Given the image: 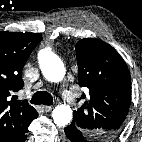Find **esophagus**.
Here are the masks:
<instances>
[{"label":"esophagus","instance_id":"1","mask_svg":"<svg viewBox=\"0 0 142 142\" xmlns=\"http://www.w3.org/2000/svg\"><path fill=\"white\" fill-rule=\"evenodd\" d=\"M52 109H53V106H43V110L45 112H50V111H52Z\"/></svg>","mask_w":142,"mask_h":142}]
</instances>
